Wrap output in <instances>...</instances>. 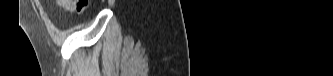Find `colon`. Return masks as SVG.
Wrapping results in <instances>:
<instances>
[{"label":"colon","instance_id":"1","mask_svg":"<svg viewBox=\"0 0 333 76\" xmlns=\"http://www.w3.org/2000/svg\"><path fill=\"white\" fill-rule=\"evenodd\" d=\"M89 0H59L58 5L68 11L83 12L89 5Z\"/></svg>","mask_w":333,"mask_h":76}]
</instances>
